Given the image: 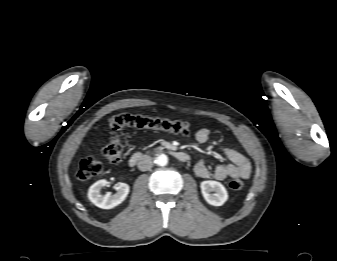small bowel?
<instances>
[{
	"label": "small bowel",
	"instance_id": "c3829d8e",
	"mask_svg": "<svg viewBox=\"0 0 337 261\" xmlns=\"http://www.w3.org/2000/svg\"><path fill=\"white\" fill-rule=\"evenodd\" d=\"M211 136V130L201 128L196 132L195 138L199 143H205ZM220 154L229 160L228 164H221L215 167L213 173L210 172L204 160H199L194 165V172L200 178H209L211 175L223 181L226 178L246 179L251 174V163L249 159L235 149L223 147Z\"/></svg>",
	"mask_w": 337,
	"mask_h": 261
}]
</instances>
